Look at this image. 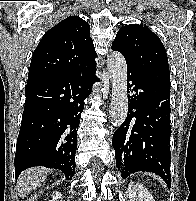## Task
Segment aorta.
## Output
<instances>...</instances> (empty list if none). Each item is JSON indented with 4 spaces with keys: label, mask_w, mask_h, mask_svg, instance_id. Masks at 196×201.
<instances>
[{
    "label": "aorta",
    "mask_w": 196,
    "mask_h": 201,
    "mask_svg": "<svg viewBox=\"0 0 196 201\" xmlns=\"http://www.w3.org/2000/svg\"><path fill=\"white\" fill-rule=\"evenodd\" d=\"M107 69L112 84L110 121L114 127H119L128 113L127 64L124 56L119 52L111 53L107 58Z\"/></svg>",
    "instance_id": "1"
}]
</instances>
